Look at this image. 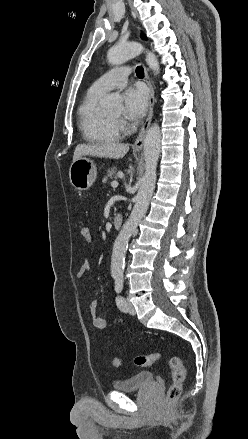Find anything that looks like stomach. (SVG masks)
<instances>
[{
	"instance_id": "stomach-1",
	"label": "stomach",
	"mask_w": 248,
	"mask_h": 439,
	"mask_svg": "<svg viewBox=\"0 0 248 439\" xmlns=\"http://www.w3.org/2000/svg\"><path fill=\"white\" fill-rule=\"evenodd\" d=\"M97 176V169L94 162L82 156L73 161L69 168V179L71 185L80 191L89 189Z\"/></svg>"
}]
</instances>
